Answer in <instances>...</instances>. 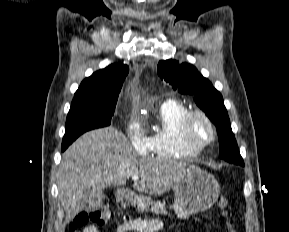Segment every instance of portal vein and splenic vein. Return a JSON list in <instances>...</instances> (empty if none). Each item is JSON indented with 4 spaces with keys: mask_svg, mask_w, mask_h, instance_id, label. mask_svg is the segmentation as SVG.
Listing matches in <instances>:
<instances>
[{
    "mask_svg": "<svg viewBox=\"0 0 289 232\" xmlns=\"http://www.w3.org/2000/svg\"><path fill=\"white\" fill-rule=\"evenodd\" d=\"M131 178H132L133 181H138L139 180V176H137V175H134Z\"/></svg>",
    "mask_w": 289,
    "mask_h": 232,
    "instance_id": "obj_1",
    "label": "portal vein and splenic vein"
}]
</instances>
